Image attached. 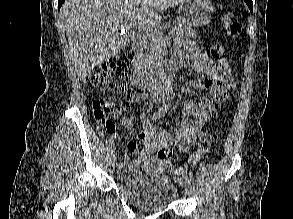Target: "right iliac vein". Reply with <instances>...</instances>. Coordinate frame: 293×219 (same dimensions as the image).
<instances>
[{
  "label": "right iliac vein",
  "mask_w": 293,
  "mask_h": 219,
  "mask_svg": "<svg viewBox=\"0 0 293 219\" xmlns=\"http://www.w3.org/2000/svg\"><path fill=\"white\" fill-rule=\"evenodd\" d=\"M116 163H117V156L116 155L111 156V158H110V166L115 167Z\"/></svg>",
  "instance_id": "63e3f726"
}]
</instances>
